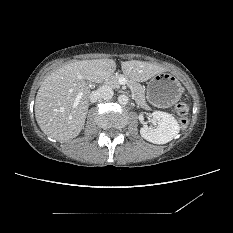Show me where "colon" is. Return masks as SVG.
<instances>
[{"label": "colon", "instance_id": "obj_1", "mask_svg": "<svg viewBox=\"0 0 233 233\" xmlns=\"http://www.w3.org/2000/svg\"><path fill=\"white\" fill-rule=\"evenodd\" d=\"M189 110H190L189 105L184 102H179L175 106V113L177 115L179 125L182 128H185L188 125Z\"/></svg>", "mask_w": 233, "mask_h": 233}]
</instances>
